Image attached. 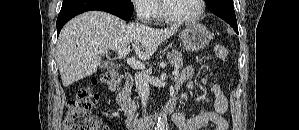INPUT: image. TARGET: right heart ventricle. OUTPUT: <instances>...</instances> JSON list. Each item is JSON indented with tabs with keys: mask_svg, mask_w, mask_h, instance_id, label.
Instances as JSON below:
<instances>
[{
	"mask_svg": "<svg viewBox=\"0 0 299 130\" xmlns=\"http://www.w3.org/2000/svg\"><path fill=\"white\" fill-rule=\"evenodd\" d=\"M158 19H160L161 17L158 15V17H157Z\"/></svg>",
	"mask_w": 299,
	"mask_h": 130,
	"instance_id": "obj_1",
	"label": "right heart ventricle"
}]
</instances>
